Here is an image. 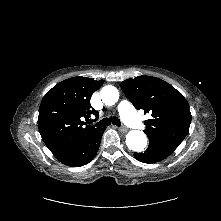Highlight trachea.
<instances>
[{"label": "trachea", "mask_w": 221, "mask_h": 221, "mask_svg": "<svg viewBox=\"0 0 221 221\" xmlns=\"http://www.w3.org/2000/svg\"><path fill=\"white\" fill-rule=\"evenodd\" d=\"M88 123L91 124L92 122L89 120ZM111 123L114 125H117L118 127H120V125H121V122L117 117L111 116L110 118L102 119L101 121L96 123V126L97 127H105V126H109Z\"/></svg>", "instance_id": "obj_1"}]
</instances>
